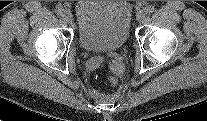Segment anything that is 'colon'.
Wrapping results in <instances>:
<instances>
[{
    "label": "colon",
    "instance_id": "5ec220e1",
    "mask_svg": "<svg viewBox=\"0 0 207 121\" xmlns=\"http://www.w3.org/2000/svg\"><path fill=\"white\" fill-rule=\"evenodd\" d=\"M124 66L123 63L119 60H113L110 63L111 78L115 80L123 72Z\"/></svg>",
    "mask_w": 207,
    "mask_h": 121
}]
</instances>
